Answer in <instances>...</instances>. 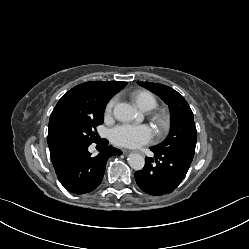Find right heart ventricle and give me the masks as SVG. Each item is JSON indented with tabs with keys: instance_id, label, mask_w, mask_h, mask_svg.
Here are the masks:
<instances>
[{
	"instance_id": "obj_1",
	"label": "right heart ventricle",
	"mask_w": 249,
	"mask_h": 249,
	"mask_svg": "<svg viewBox=\"0 0 249 249\" xmlns=\"http://www.w3.org/2000/svg\"><path fill=\"white\" fill-rule=\"evenodd\" d=\"M132 99L140 109L145 111L152 110L157 106L155 96L147 91L134 93Z\"/></svg>"
}]
</instances>
